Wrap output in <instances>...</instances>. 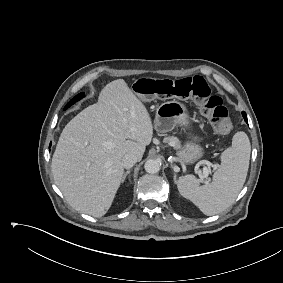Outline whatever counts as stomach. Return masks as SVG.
<instances>
[{
	"instance_id": "obj_1",
	"label": "stomach",
	"mask_w": 283,
	"mask_h": 283,
	"mask_svg": "<svg viewBox=\"0 0 283 283\" xmlns=\"http://www.w3.org/2000/svg\"><path fill=\"white\" fill-rule=\"evenodd\" d=\"M177 125L190 128V117L185 105L178 101H167L158 106L156 110L154 128L156 131L166 133ZM203 148L194 142H186L179 148L177 156L185 164H193L203 156Z\"/></svg>"
}]
</instances>
